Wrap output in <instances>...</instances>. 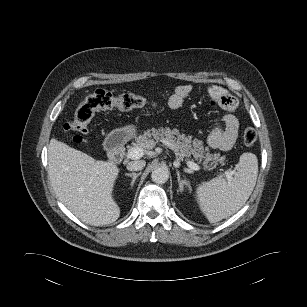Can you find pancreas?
I'll use <instances>...</instances> for the list:
<instances>
[{
  "label": "pancreas",
  "instance_id": "1",
  "mask_svg": "<svg viewBox=\"0 0 307 307\" xmlns=\"http://www.w3.org/2000/svg\"><path fill=\"white\" fill-rule=\"evenodd\" d=\"M159 141L173 150L177 158L181 160L193 157L209 168H215L218 164L225 165L226 157L220 156V153L212 154L208 147H204L203 141L180 134L179 130L170 128H152L145 131L143 135L135 138L133 146L128 148V153L133 147L152 149Z\"/></svg>",
  "mask_w": 307,
  "mask_h": 307
}]
</instances>
